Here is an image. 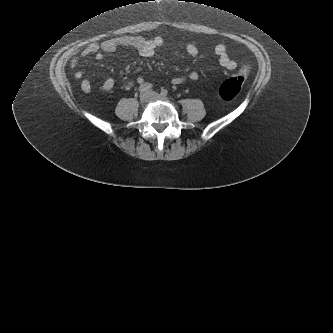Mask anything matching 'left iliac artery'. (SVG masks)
<instances>
[{"instance_id": "obj_1", "label": "left iliac artery", "mask_w": 333, "mask_h": 333, "mask_svg": "<svg viewBox=\"0 0 333 333\" xmlns=\"http://www.w3.org/2000/svg\"><path fill=\"white\" fill-rule=\"evenodd\" d=\"M167 94H168V90H167V89H163V90L161 91V95L166 96Z\"/></svg>"}]
</instances>
